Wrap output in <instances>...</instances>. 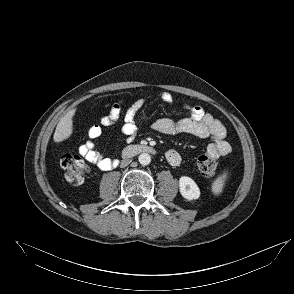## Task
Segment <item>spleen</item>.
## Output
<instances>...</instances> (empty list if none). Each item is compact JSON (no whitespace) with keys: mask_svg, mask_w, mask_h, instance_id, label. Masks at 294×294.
<instances>
[{"mask_svg":"<svg viewBox=\"0 0 294 294\" xmlns=\"http://www.w3.org/2000/svg\"><path fill=\"white\" fill-rule=\"evenodd\" d=\"M226 175H222L218 177L212 184V191L215 195H218L222 192L224 181H225Z\"/></svg>","mask_w":294,"mask_h":294,"instance_id":"obj_1","label":"spleen"}]
</instances>
